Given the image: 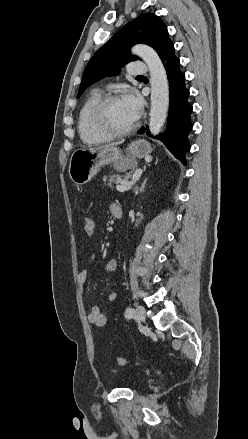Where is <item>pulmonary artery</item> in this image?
Wrapping results in <instances>:
<instances>
[{"label":"pulmonary artery","mask_w":248,"mask_h":439,"mask_svg":"<svg viewBox=\"0 0 248 439\" xmlns=\"http://www.w3.org/2000/svg\"><path fill=\"white\" fill-rule=\"evenodd\" d=\"M129 73L131 75L142 76L148 73V67L144 62L141 61L132 62Z\"/></svg>","instance_id":"obj_1"}]
</instances>
